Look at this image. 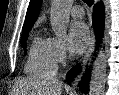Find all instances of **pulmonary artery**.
<instances>
[{"label": "pulmonary artery", "instance_id": "e3ab8cb5", "mask_svg": "<svg viewBox=\"0 0 119 95\" xmlns=\"http://www.w3.org/2000/svg\"><path fill=\"white\" fill-rule=\"evenodd\" d=\"M71 15L74 17V18H82L84 16V10L81 6L79 5H75L72 7L71 9Z\"/></svg>", "mask_w": 119, "mask_h": 95}]
</instances>
